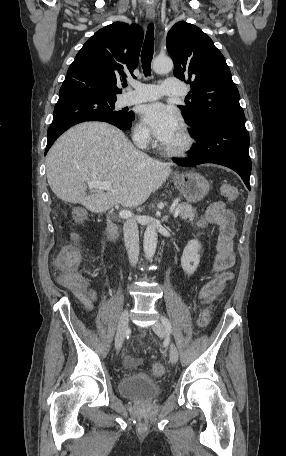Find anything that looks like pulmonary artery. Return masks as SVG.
Listing matches in <instances>:
<instances>
[{
  "label": "pulmonary artery",
  "mask_w": 286,
  "mask_h": 456,
  "mask_svg": "<svg viewBox=\"0 0 286 456\" xmlns=\"http://www.w3.org/2000/svg\"><path fill=\"white\" fill-rule=\"evenodd\" d=\"M134 90L124 96V105H131L159 99L161 96H178L183 94V88L176 77H168L161 86L154 84L132 83Z\"/></svg>",
  "instance_id": "pulmonary-artery-1"
}]
</instances>
